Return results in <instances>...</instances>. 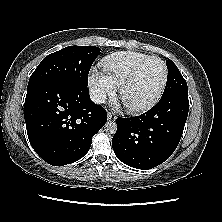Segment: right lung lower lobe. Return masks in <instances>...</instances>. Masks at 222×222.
<instances>
[{"label":"right lung lower lobe","instance_id":"obj_1","mask_svg":"<svg viewBox=\"0 0 222 222\" xmlns=\"http://www.w3.org/2000/svg\"><path fill=\"white\" fill-rule=\"evenodd\" d=\"M106 115L84 86L47 81L27 89L24 117L29 141L54 166L82 158L106 123Z\"/></svg>","mask_w":222,"mask_h":222}]
</instances>
